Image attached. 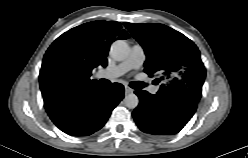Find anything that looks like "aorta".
Instances as JSON below:
<instances>
[{
    "label": "aorta",
    "mask_w": 248,
    "mask_h": 158,
    "mask_svg": "<svg viewBox=\"0 0 248 158\" xmlns=\"http://www.w3.org/2000/svg\"><path fill=\"white\" fill-rule=\"evenodd\" d=\"M110 55L117 61L125 60L129 55V46L124 40H116L110 47ZM124 103L129 109H134L138 106L139 99L134 93L125 96Z\"/></svg>",
    "instance_id": "obj_1"
}]
</instances>
